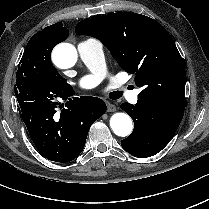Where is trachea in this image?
Instances as JSON below:
<instances>
[{"mask_svg": "<svg viewBox=\"0 0 209 209\" xmlns=\"http://www.w3.org/2000/svg\"><path fill=\"white\" fill-rule=\"evenodd\" d=\"M122 96L121 91H114L109 94V97L113 100L119 99Z\"/></svg>", "mask_w": 209, "mask_h": 209, "instance_id": "3493384b", "label": "trachea"}]
</instances>
